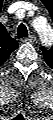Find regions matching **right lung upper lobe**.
I'll list each match as a JSON object with an SVG mask.
<instances>
[{
	"label": "right lung upper lobe",
	"mask_w": 53,
	"mask_h": 120,
	"mask_svg": "<svg viewBox=\"0 0 53 120\" xmlns=\"http://www.w3.org/2000/svg\"><path fill=\"white\" fill-rule=\"evenodd\" d=\"M17 48V41L7 33L5 27L2 25L0 29V64H3Z\"/></svg>",
	"instance_id": "1"
}]
</instances>
